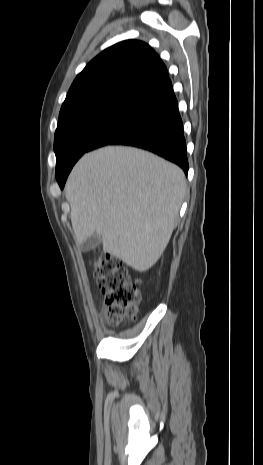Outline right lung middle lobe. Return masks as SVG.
Instances as JSON below:
<instances>
[{
  "mask_svg": "<svg viewBox=\"0 0 263 465\" xmlns=\"http://www.w3.org/2000/svg\"><path fill=\"white\" fill-rule=\"evenodd\" d=\"M135 101L124 96L102 97L59 114L54 138L57 181L69 174L77 160Z\"/></svg>",
  "mask_w": 263,
  "mask_h": 465,
  "instance_id": "dd1d6c3e",
  "label": "right lung middle lobe"
}]
</instances>
